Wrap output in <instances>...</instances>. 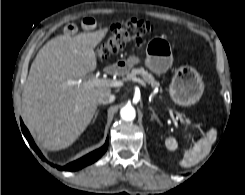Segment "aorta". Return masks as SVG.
Instances as JSON below:
<instances>
[{
	"label": "aorta",
	"instance_id": "762f6f07",
	"mask_svg": "<svg viewBox=\"0 0 245 195\" xmlns=\"http://www.w3.org/2000/svg\"><path fill=\"white\" fill-rule=\"evenodd\" d=\"M120 116L125 121H132L136 116V111L131 105H126L121 108Z\"/></svg>",
	"mask_w": 245,
	"mask_h": 195
}]
</instances>
